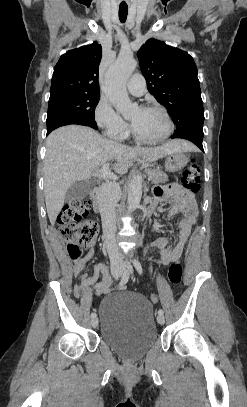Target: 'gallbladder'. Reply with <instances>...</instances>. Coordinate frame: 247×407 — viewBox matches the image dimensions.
I'll return each mask as SVG.
<instances>
[{
	"label": "gallbladder",
	"mask_w": 247,
	"mask_h": 407,
	"mask_svg": "<svg viewBox=\"0 0 247 407\" xmlns=\"http://www.w3.org/2000/svg\"><path fill=\"white\" fill-rule=\"evenodd\" d=\"M93 185L94 180L92 179L74 182L65 194V201L69 202L85 198L92 190Z\"/></svg>",
	"instance_id": "bac80fb5"
}]
</instances>
